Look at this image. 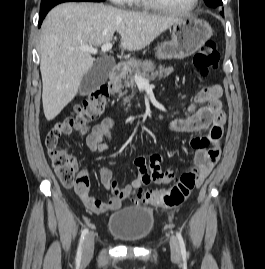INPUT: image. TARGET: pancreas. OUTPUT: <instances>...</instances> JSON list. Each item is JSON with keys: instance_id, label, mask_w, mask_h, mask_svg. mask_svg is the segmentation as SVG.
Here are the masks:
<instances>
[{"instance_id": "1", "label": "pancreas", "mask_w": 265, "mask_h": 269, "mask_svg": "<svg viewBox=\"0 0 265 269\" xmlns=\"http://www.w3.org/2000/svg\"><path fill=\"white\" fill-rule=\"evenodd\" d=\"M172 71H173L172 67H165V66L159 65L158 69L157 70L153 69L150 74L147 73L146 71L141 72L138 69L136 70V74L141 75L145 79L154 80L156 77L161 78L163 76H167L170 73H172ZM112 84H113L114 90L117 91L120 96L123 94H126L129 88L132 89V91H134L136 88V82H135L134 76L132 75V70L128 69L122 72V74L119 76L118 79L112 81ZM124 88L125 90L122 91V89ZM130 99H131V96L125 97L124 104L128 103Z\"/></svg>"}]
</instances>
